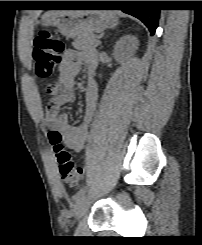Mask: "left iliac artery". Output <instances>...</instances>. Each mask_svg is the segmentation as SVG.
Returning a JSON list of instances; mask_svg holds the SVG:
<instances>
[{
  "label": "left iliac artery",
  "instance_id": "obj_1",
  "mask_svg": "<svg viewBox=\"0 0 202 245\" xmlns=\"http://www.w3.org/2000/svg\"><path fill=\"white\" fill-rule=\"evenodd\" d=\"M86 192V187L81 188L80 190L77 191V193L73 196V199L77 201L82 195H84Z\"/></svg>",
  "mask_w": 202,
  "mask_h": 245
}]
</instances>
